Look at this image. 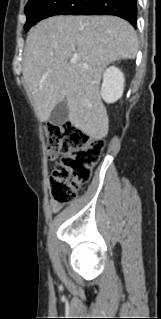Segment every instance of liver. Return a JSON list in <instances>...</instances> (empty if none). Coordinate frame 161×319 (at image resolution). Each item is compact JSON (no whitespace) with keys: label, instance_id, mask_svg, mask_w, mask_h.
Returning a JSON list of instances; mask_svg holds the SVG:
<instances>
[{"label":"liver","instance_id":"obj_1","mask_svg":"<svg viewBox=\"0 0 161 319\" xmlns=\"http://www.w3.org/2000/svg\"><path fill=\"white\" fill-rule=\"evenodd\" d=\"M138 51L134 28L116 16H55L29 32L23 78L43 122L61 101L68 119L84 134L104 138L109 118L101 100V74L110 63L134 59ZM77 57L72 64L69 60Z\"/></svg>","mask_w":161,"mask_h":319}]
</instances>
